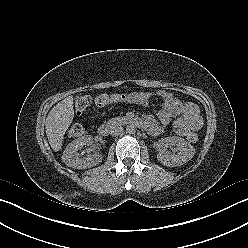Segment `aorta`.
Segmentation results:
<instances>
[{
	"mask_svg": "<svg viewBox=\"0 0 248 248\" xmlns=\"http://www.w3.org/2000/svg\"><path fill=\"white\" fill-rule=\"evenodd\" d=\"M136 130H137V128H136V126L134 124H129L126 127V132L128 134H135L136 133Z\"/></svg>",
	"mask_w": 248,
	"mask_h": 248,
	"instance_id": "762f6f07",
	"label": "aorta"
}]
</instances>
